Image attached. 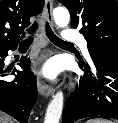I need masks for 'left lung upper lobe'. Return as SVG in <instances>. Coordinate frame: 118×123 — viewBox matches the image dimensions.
Returning a JSON list of instances; mask_svg holds the SVG:
<instances>
[{"instance_id": "left-lung-upper-lobe-1", "label": "left lung upper lobe", "mask_w": 118, "mask_h": 123, "mask_svg": "<svg viewBox=\"0 0 118 123\" xmlns=\"http://www.w3.org/2000/svg\"><path fill=\"white\" fill-rule=\"evenodd\" d=\"M70 11L71 26L80 29L90 55L118 59L116 0H58Z\"/></svg>"}]
</instances>
